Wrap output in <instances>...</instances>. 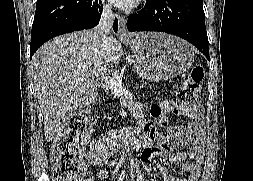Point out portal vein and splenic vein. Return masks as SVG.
Returning a JSON list of instances; mask_svg holds the SVG:
<instances>
[{"mask_svg": "<svg viewBox=\"0 0 253 181\" xmlns=\"http://www.w3.org/2000/svg\"><path fill=\"white\" fill-rule=\"evenodd\" d=\"M106 85L113 91L115 92H122V85L120 83V81L111 78V77H107L105 79Z\"/></svg>", "mask_w": 253, "mask_h": 181, "instance_id": "obj_1", "label": "portal vein and splenic vein"}]
</instances>
